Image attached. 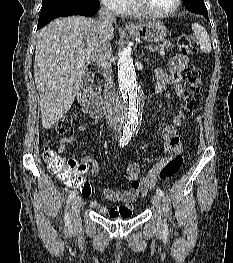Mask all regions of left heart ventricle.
I'll list each match as a JSON object with an SVG mask.
<instances>
[{
    "label": "left heart ventricle",
    "instance_id": "obj_1",
    "mask_svg": "<svg viewBox=\"0 0 233 263\" xmlns=\"http://www.w3.org/2000/svg\"><path fill=\"white\" fill-rule=\"evenodd\" d=\"M143 4L153 12H165L171 9L175 0H142Z\"/></svg>",
    "mask_w": 233,
    "mask_h": 263
}]
</instances>
